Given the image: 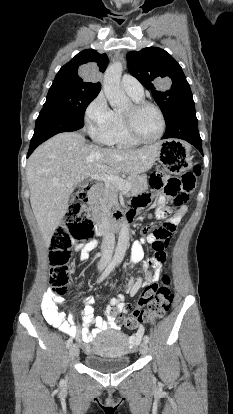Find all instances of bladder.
<instances>
[{
  "instance_id": "1",
  "label": "bladder",
  "mask_w": 233,
  "mask_h": 414,
  "mask_svg": "<svg viewBox=\"0 0 233 414\" xmlns=\"http://www.w3.org/2000/svg\"><path fill=\"white\" fill-rule=\"evenodd\" d=\"M127 336L120 330L110 329L95 340L92 352L85 357L88 368L98 372H112L130 365Z\"/></svg>"
}]
</instances>
